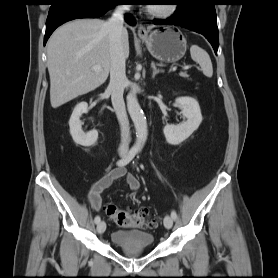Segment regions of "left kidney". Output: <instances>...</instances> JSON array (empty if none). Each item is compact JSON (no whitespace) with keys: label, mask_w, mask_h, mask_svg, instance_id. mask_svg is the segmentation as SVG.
Returning a JSON list of instances; mask_svg holds the SVG:
<instances>
[{"label":"left kidney","mask_w":278,"mask_h":278,"mask_svg":"<svg viewBox=\"0 0 278 278\" xmlns=\"http://www.w3.org/2000/svg\"><path fill=\"white\" fill-rule=\"evenodd\" d=\"M177 106L182 110L187 119L177 126L167 124L164 129L166 141L171 145H178L186 140L202 122V114L198 102L191 97H179L176 99Z\"/></svg>","instance_id":"obj_1"}]
</instances>
